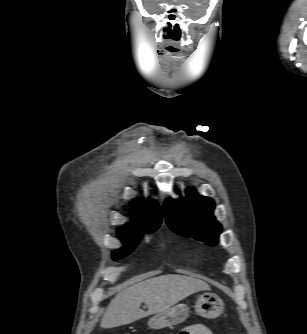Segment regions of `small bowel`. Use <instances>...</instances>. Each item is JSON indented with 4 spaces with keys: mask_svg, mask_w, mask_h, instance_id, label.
Here are the masks:
<instances>
[{
    "mask_svg": "<svg viewBox=\"0 0 307 334\" xmlns=\"http://www.w3.org/2000/svg\"><path fill=\"white\" fill-rule=\"evenodd\" d=\"M182 334H213V332L205 325L195 324L184 328Z\"/></svg>",
    "mask_w": 307,
    "mask_h": 334,
    "instance_id": "1",
    "label": "small bowel"
}]
</instances>
